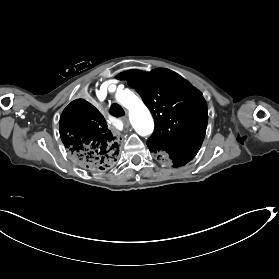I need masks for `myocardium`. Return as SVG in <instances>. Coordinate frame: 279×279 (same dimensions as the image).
Masks as SVG:
<instances>
[{
    "label": "myocardium",
    "mask_w": 279,
    "mask_h": 279,
    "mask_svg": "<svg viewBox=\"0 0 279 279\" xmlns=\"http://www.w3.org/2000/svg\"><path fill=\"white\" fill-rule=\"evenodd\" d=\"M104 85H105V84H102L101 86H104ZM97 95H101V93L97 91ZM132 104H133V105H137V104L146 105L145 102H144V100H143L139 95L135 96V98H134L133 101H132Z\"/></svg>",
    "instance_id": "myocardium-1"
}]
</instances>
